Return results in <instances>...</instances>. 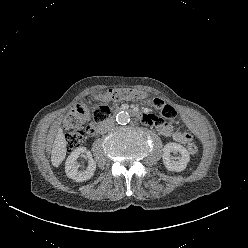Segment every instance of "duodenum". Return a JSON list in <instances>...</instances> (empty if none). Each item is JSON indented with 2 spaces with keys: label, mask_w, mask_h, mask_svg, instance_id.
I'll list each match as a JSON object with an SVG mask.
<instances>
[{
  "label": "duodenum",
  "mask_w": 248,
  "mask_h": 248,
  "mask_svg": "<svg viewBox=\"0 0 248 248\" xmlns=\"http://www.w3.org/2000/svg\"><path fill=\"white\" fill-rule=\"evenodd\" d=\"M120 111H128L130 113H132L134 116H136L137 118L141 119L142 120V117H143V113L139 112V111H135V110H132L128 107H121L117 110V112H120ZM101 128V125H98L97 129H100Z\"/></svg>",
  "instance_id": "1"
}]
</instances>
